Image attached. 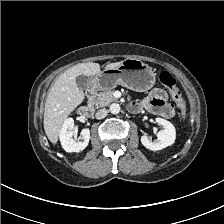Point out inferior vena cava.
I'll use <instances>...</instances> for the list:
<instances>
[{"label":"inferior vena cava","instance_id":"inferior-vena-cava-1","mask_svg":"<svg viewBox=\"0 0 224 224\" xmlns=\"http://www.w3.org/2000/svg\"><path fill=\"white\" fill-rule=\"evenodd\" d=\"M108 111L106 109H99L97 112H96V119H103L106 117Z\"/></svg>","mask_w":224,"mask_h":224}]
</instances>
